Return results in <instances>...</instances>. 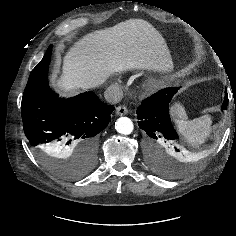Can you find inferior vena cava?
<instances>
[{"label":"inferior vena cava","instance_id":"1","mask_svg":"<svg viewBox=\"0 0 236 236\" xmlns=\"http://www.w3.org/2000/svg\"><path fill=\"white\" fill-rule=\"evenodd\" d=\"M104 97L108 103L116 104L123 98V91L118 85H112L105 90Z\"/></svg>","mask_w":236,"mask_h":236}]
</instances>
